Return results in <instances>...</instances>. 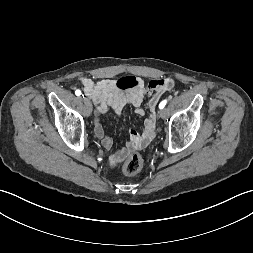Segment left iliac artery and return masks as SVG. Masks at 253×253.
<instances>
[{"label":"left iliac artery","mask_w":253,"mask_h":253,"mask_svg":"<svg viewBox=\"0 0 253 253\" xmlns=\"http://www.w3.org/2000/svg\"><path fill=\"white\" fill-rule=\"evenodd\" d=\"M167 104V100H163L160 104H159V108L163 109L165 107V105Z\"/></svg>","instance_id":"1"}]
</instances>
